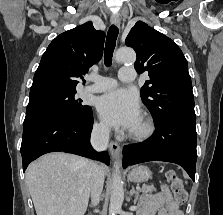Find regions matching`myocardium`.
Segmentation results:
<instances>
[{
  "label": "myocardium",
  "mask_w": 223,
  "mask_h": 215,
  "mask_svg": "<svg viewBox=\"0 0 223 215\" xmlns=\"http://www.w3.org/2000/svg\"><path fill=\"white\" fill-rule=\"evenodd\" d=\"M139 127L131 128L127 139L137 142L148 140L154 133L155 127L153 122L145 115L139 117Z\"/></svg>",
  "instance_id": "obj_1"
}]
</instances>
